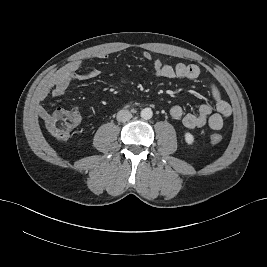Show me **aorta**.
<instances>
[{"label":"aorta","instance_id":"aorta-1","mask_svg":"<svg viewBox=\"0 0 267 267\" xmlns=\"http://www.w3.org/2000/svg\"><path fill=\"white\" fill-rule=\"evenodd\" d=\"M141 117L145 120L151 119L153 116V112L151 110V108H144L141 111Z\"/></svg>","mask_w":267,"mask_h":267}]
</instances>
